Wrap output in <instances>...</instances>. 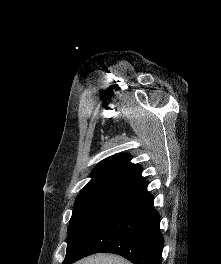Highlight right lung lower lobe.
<instances>
[{
	"mask_svg": "<svg viewBox=\"0 0 221 264\" xmlns=\"http://www.w3.org/2000/svg\"><path fill=\"white\" fill-rule=\"evenodd\" d=\"M147 185L143 179L127 188L81 250L63 264L98 252L115 253L134 264H161L164 239L159 228L160 216Z\"/></svg>",
	"mask_w": 221,
	"mask_h": 264,
	"instance_id": "98d812e1",
	"label": "right lung lower lobe"
}]
</instances>
